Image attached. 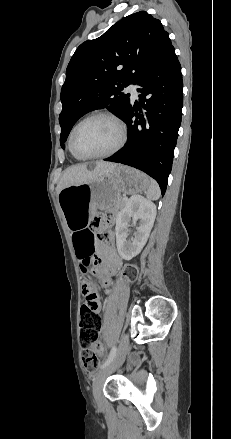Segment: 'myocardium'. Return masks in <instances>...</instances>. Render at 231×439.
I'll list each match as a JSON object with an SVG mask.
<instances>
[{
    "label": "myocardium",
    "instance_id": "obj_1",
    "mask_svg": "<svg viewBox=\"0 0 231 439\" xmlns=\"http://www.w3.org/2000/svg\"><path fill=\"white\" fill-rule=\"evenodd\" d=\"M97 117H104V118H107L110 121H112L118 128L119 139H118L117 143L115 144V146L106 152L99 153V154H92V155L79 154L75 150L74 143H73L75 132L79 128V126L82 125L84 122H86L92 118H97ZM126 137H127L126 127L117 115H115L114 113L109 112V111H96V112H93V113L86 115L85 117H83L81 120H79L74 125V127L72 128L70 135H69V149L72 152V154H74L79 159L107 158V157H110V156L114 155L115 153H117L124 146V144L126 142Z\"/></svg>",
    "mask_w": 231,
    "mask_h": 439
}]
</instances>
